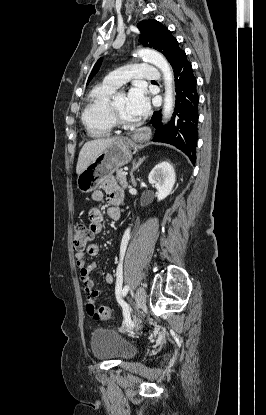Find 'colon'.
Listing matches in <instances>:
<instances>
[{
    "label": "colon",
    "mask_w": 266,
    "mask_h": 415,
    "mask_svg": "<svg viewBox=\"0 0 266 415\" xmlns=\"http://www.w3.org/2000/svg\"><path fill=\"white\" fill-rule=\"evenodd\" d=\"M93 238V232L90 227L80 224L76 226L73 237V247L76 251L85 249ZM90 315L99 321H107L112 316V311L107 306L95 307Z\"/></svg>",
    "instance_id": "colon-1"
}]
</instances>
